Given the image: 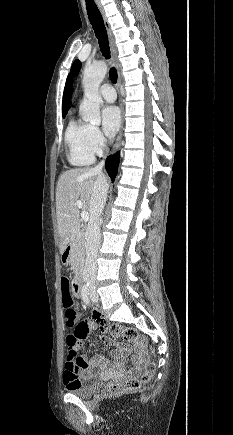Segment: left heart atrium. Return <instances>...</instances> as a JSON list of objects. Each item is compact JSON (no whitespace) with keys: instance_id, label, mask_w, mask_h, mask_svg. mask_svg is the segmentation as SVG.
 <instances>
[{"instance_id":"39dd6f15","label":"left heart atrium","mask_w":233,"mask_h":435,"mask_svg":"<svg viewBox=\"0 0 233 435\" xmlns=\"http://www.w3.org/2000/svg\"><path fill=\"white\" fill-rule=\"evenodd\" d=\"M101 119L105 135L109 138H113L121 123L119 109L115 106L105 107L101 112Z\"/></svg>"}]
</instances>
